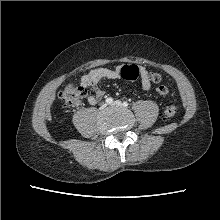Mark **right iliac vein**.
<instances>
[{
  "label": "right iliac vein",
  "instance_id": "1",
  "mask_svg": "<svg viewBox=\"0 0 220 220\" xmlns=\"http://www.w3.org/2000/svg\"><path fill=\"white\" fill-rule=\"evenodd\" d=\"M106 106H107V105H106L105 103L101 104V108H102V109L106 108Z\"/></svg>",
  "mask_w": 220,
  "mask_h": 220
}]
</instances>
